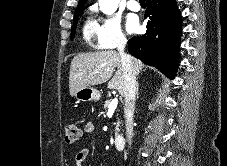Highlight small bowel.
I'll list each match as a JSON object with an SVG mask.
<instances>
[{
	"label": "small bowel",
	"mask_w": 227,
	"mask_h": 166,
	"mask_svg": "<svg viewBox=\"0 0 227 166\" xmlns=\"http://www.w3.org/2000/svg\"><path fill=\"white\" fill-rule=\"evenodd\" d=\"M95 129L96 127L92 122L87 123L85 126V132L88 134L94 133ZM89 153H90V149L84 148L83 150H81L79 153L76 154L75 161L77 163V166H81L82 162L86 160Z\"/></svg>",
	"instance_id": "obj_1"
}]
</instances>
